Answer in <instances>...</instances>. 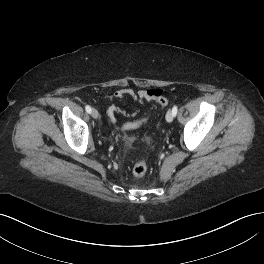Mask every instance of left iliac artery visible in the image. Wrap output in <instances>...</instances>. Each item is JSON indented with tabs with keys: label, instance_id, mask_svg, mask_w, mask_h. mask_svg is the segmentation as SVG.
I'll return each instance as SVG.
<instances>
[{
	"label": "left iliac artery",
	"instance_id": "44dca946",
	"mask_svg": "<svg viewBox=\"0 0 264 264\" xmlns=\"http://www.w3.org/2000/svg\"><path fill=\"white\" fill-rule=\"evenodd\" d=\"M177 110H178L177 106H174V107L172 108L173 116H176V114H177Z\"/></svg>",
	"mask_w": 264,
	"mask_h": 264
}]
</instances>
